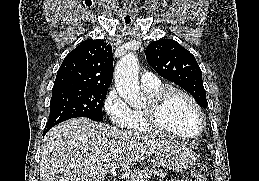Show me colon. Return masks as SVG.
<instances>
[{"label":"colon","mask_w":259,"mask_h":181,"mask_svg":"<svg viewBox=\"0 0 259 181\" xmlns=\"http://www.w3.org/2000/svg\"><path fill=\"white\" fill-rule=\"evenodd\" d=\"M189 181H207V168L204 164H196L190 175Z\"/></svg>","instance_id":"obj_1"}]
</instances>
